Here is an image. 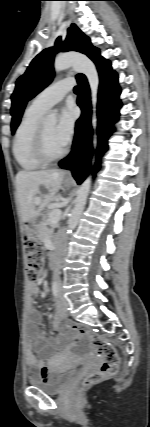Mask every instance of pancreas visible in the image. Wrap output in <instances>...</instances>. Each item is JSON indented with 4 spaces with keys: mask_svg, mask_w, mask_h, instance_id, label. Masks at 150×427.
<instances>
[{
    "mask_svg": "<svg viewBox=\"0 0 150 427\" xmlns=\"http://www.w3.org/2000/svg\"><path fill=\"white\" fill-rule=\"evenodd\" d=\"M52 224L49 221V218H47L41 226L38 228V236L41 240H44L46 236H50L51 238L55 239L56 235H53V228H48L47 225ZM56 224H53L55 226Z\"/></svg>",
    "mask_w": 150,
    "mask_h": 427,
    "instance_id": "obj_1",
    "label": "pancreas"
}]
</instances>
